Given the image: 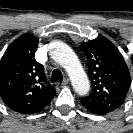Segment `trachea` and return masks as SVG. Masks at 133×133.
Segmentation results:
<instances>
[{
  "mask_svg": "<svg viewBox=\"0 0 133 133\" xmlns=\"http://www.w3.org/2000/svg\"><path fill=\"white\" fill-rule=\"evenodd\" d=\"M62 80H63L62 72L59 69L53 70L52 75H51V81L62 82Z\"/></svg>",
  "mask_w": 133,
  "mask_h": 133,
  "instance_id": "1",
  "label": "trachea"
}]
</instances>
